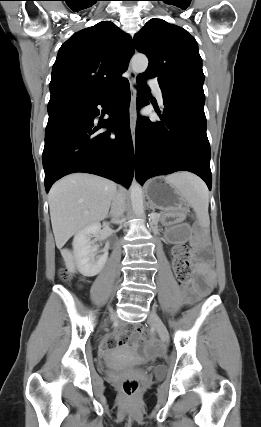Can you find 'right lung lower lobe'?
Masks as SVG:
<instances>
[{"instance_id":"right-lung-lower-lobe-1","label":"right lung lower lobe","mask_w":261,"mask_h":427,"mask_svg":"<svg viewBox=\"0 0 261 427\" xmlns=\"http://www.w3.org/2000/svg\"><path fill=\"white\" fill-rule=\"evenodd\" d=\"M127 79L101 99L49 112L43 150L45 188L74 172L100 175L129 187L134 151L129 128ZM108 106V119L94 121L97 105ZM109 127L105 132L101 128Z\"/></svg>"}]
</instances>
